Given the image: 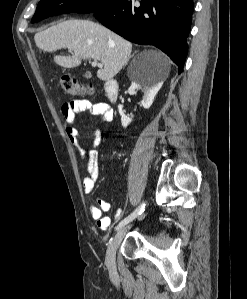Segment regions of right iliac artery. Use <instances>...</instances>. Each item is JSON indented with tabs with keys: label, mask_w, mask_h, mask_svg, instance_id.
I'll list each match as a JSON object with an SVG mask.
<instances>
[{
	"label": "right iliac artery",
	"mask_w": 247,
	"mask_h": 299,
	"mask_svg": "<svg viewBox=\"0 0 247 299\" xmlns=\"http://www.w3.org/2000/svg\"><path fill=\"white\" fill-rule=\"evenodd\" d=\"M145 208V203L143 202L135 211H133L130 215H128L126 218H124L116 227V230H119L123 226H125L127 223L135 219L138 215L142 214Z\"/></svg>",
	"instance_id": "obj_1"
}]
</instances>
